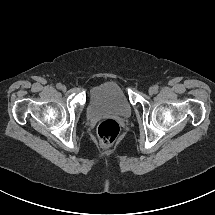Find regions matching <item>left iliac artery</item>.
<instances>
[{
    "instance_id": "left-iliac-artery-1",
    "label": "left iliac artery",
    "mask_w": 215,
    "mask_h": 215,
    "mask_svg": "<svg viewBox=\"0 0 215 215\" xmlns=\"http://www.w3.org/2000/svg\"><path fill=\"white\" fill-rule=\"evenodd\" d=\"M154 87H155L156 91H158L159 86H158V85H155Z\"/></svg>"
}]
</instances>
